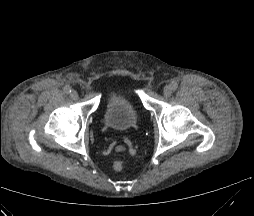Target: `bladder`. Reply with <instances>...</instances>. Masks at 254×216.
Listing matches in <instances>:
<instances>
[{
	"label": "bladder",
	"mask_w": 254,
	"mask_h": 216,
	"mask_svg": "<svg viewBox=\"0 0 254 216\" xmlns=\"http://www.w3.org/2000/svg\"><path fill=\"white\" fill-rule=\"evenodd\" d=\"M137 107L133 96L126 91L109 90L105 93V124L119 132L127 131L137 120Z\"/></svg>",
	"instance_id": "1"
}]
</instances>
